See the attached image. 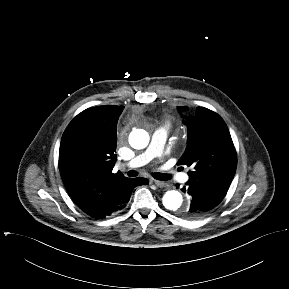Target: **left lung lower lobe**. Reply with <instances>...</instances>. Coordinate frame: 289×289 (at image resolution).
<instances>
[{
  "label": "left lung lower lobe",
  "instance_id": "obj_1",
  "mask_svg": "<svg viewBox=\"0 0 289 289\" xmlns=\"http://www.w3.org/2000/svg\"><path fill=\"white\" fill-rule=\"evenodd\" d=\"M186 185L182 191L192 196V200L190 207L183 214L189 218L204 216L216 207L227 193V189L204 182L189 180Z\"/></svg>",
  "mask_w": 289,
  "mask_h": 289
}]
</instances>
